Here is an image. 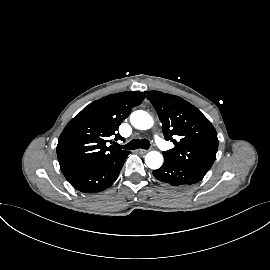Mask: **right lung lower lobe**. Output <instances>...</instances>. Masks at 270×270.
<instances>
[{"label": "right lung lower lobe", "instance_id": "right-lung-lower-lobe-1", "mask_svg": "<svg viewBox=\"0 0 270 270\" xmlns=\"http://www.w3.org/2000/svg\"><path fill=\"white\" fill-rule=\"evenodd\" d=\"M129 154L116 157L105 164L70 173L65 177L78 191L84 193L103 191L115 182Z\"/></svg>", "mask_w": 270, "mask_h": 270}]
</instances>
